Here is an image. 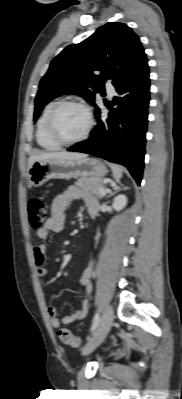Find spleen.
<instances>
[{"label":"spleen","instance_id":"spleen-1","mask_svg":"<svg viewBox=\"0 0 182 399\" xmlns=\"http://www.w3.org/2000/svg\"><path fill=\"white\" fill-rule=\"evenodd\" d=\"M115 179H120L122 177V168L115 164H110Z\"/></svg>","mask_w":182,"mask_h":399}]
</instances>
